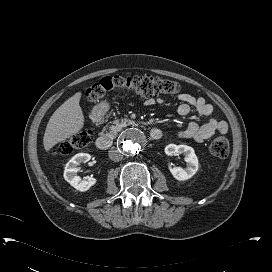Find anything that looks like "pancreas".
Here are the masks:
<instances>
[{
    "label": "pancreas",
    "mask_w": 272,
    "mask_h": 272,
    "mask_svg": "<svg viewBox=\"0 0 272 272\" xmlns=\"http://www.w3.org/2000/svg\"><path fill=\"white\" fill-rule=\"evenodd\" d=\"M114 124L115 125H112L109 127L108 135L111 138L116 137L118 132L122 131L124 127H127L133 124V122L130 119H121V120H115Z\"/></svg>",
    "instance_id": "obj_1"
}]
</instances>
